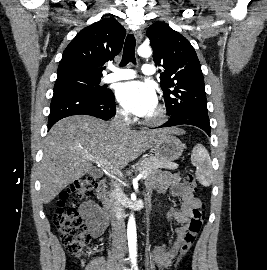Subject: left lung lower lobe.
I'll return each mask as SVG.
<instances>
[{
	"instance_id": "obj_1",
	"label": "left lung lower lobe",
	"mask_w": 267,
	"mask_h": 270,
	"mask_svg": "<svg viewBox=\"0 0 267 270\" xmlns=\"http://www.w3.org/2000/svg\"><path fill=\"white\" fill-rule=\"evenodd\" d=\"M183 124L199 127L210 136V122L208 114L197 111L184 112L176 116H171V118L160 127H171Z\"/></svg>"
}]
</instances>
